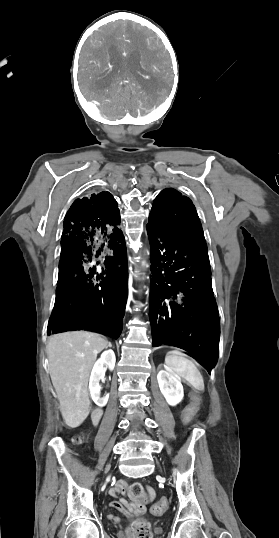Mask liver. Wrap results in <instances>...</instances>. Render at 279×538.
I'll return each instance as SVG.
<instances>
[{
  "label": "liver",
  "mask_w": 279,
  "mask_h": 538,
  "mask_svg": "<svg viewBox=\"0 0 279 538\" xmlns=\"http://www.w3.org/2000/svg\"><path fill=\"white\" fill-rule=\"evenodd\" d=\"M109 342L93 332H64L51 336L47 354L49 374L69 428H78L90 410L88 380L97 354Z\"/></svg>",
  "instance_id": "liver-1"
}]
</instances>
